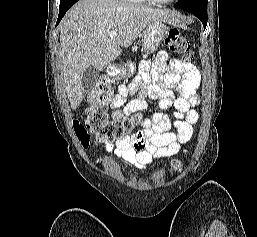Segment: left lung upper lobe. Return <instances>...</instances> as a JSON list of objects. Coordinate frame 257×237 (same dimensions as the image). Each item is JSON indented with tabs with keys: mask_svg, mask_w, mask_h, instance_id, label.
Returning <instances> with one entry per match:
<instances>
[{
	"mask_svg": "<svg viewBox=\"0 0 257 237\" xmlns=\"http://www.w3.org/2000/svg\"><path fill=\"white\" fill-rule=\"evenodd\" d=\"M176 5L178 7H186V6L207 7V0H178V3Z\"/></svg>",
	"mask_w": 257,
	"mask_h": 237,
	"instance_id": "obj_1",
	"label": "left lung upper lobe"
}]
</instances>
